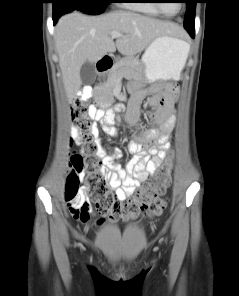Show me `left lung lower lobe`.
I'll list each match as a JSON object with an SVG mask.
<instances>
[{
	"instance_id": "1",
	"label": "left lung lower lobe",
	"mask_w": 239,
	"mask_h": 296,
	"mask_svg": "<svg viewBox=\"0 0 239 296\" xmlns=\"http://www.w3.org/2000/svg\"><path fill=\"white\" fill-rule=\"evenodd\" d=\"M185 29L188 31V33L190 34V36L192 38H194V36H195L194 26H186Z\"/></svg>"
}]
</instances>
